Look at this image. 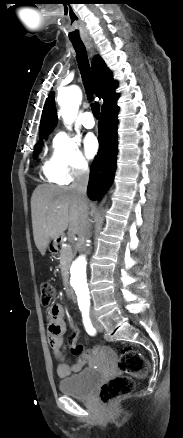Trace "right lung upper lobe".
<instances>
[{
	"instance_id": "obj_1",
	"label": "right lung upper lobe",
	"mask_w": 183,
	"mask_h": 438,
	"mask_svg": "<svg viewBox=\"0 0 183 438\" xmlns=\"http://www.w3.org/2000/svg\"><path fill=\"white\" fill-rule=\"evenodd\" d=\"M92 71L95 81V93L97 97L104 100L103 106L101 108L109 106L110 104L116 102L118 98V93L115 92L117 88V81L112 79L111 71L106 67L105 62L100 56H96L92 62ZM56 124V110L54 106V96L50 94L46 100L41 124L39 137L43 135H49Z\"/></svg>"
}]
</instances>
